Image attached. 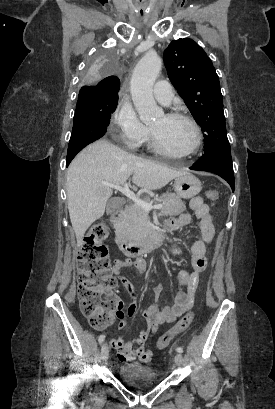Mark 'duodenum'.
Returning <instances> with one entry per match:
<instances>
[{"label":"duodenum","instance_id":"1","mask_svg":"<svg viewBox=\"0 0 275 409\" xmlns=\"http://www.w3.org/2000/svg\"><path fill=\"white\" fill-rule=\"evenodd\" d=\"M124 210L115 211L110 218L115 228V240L121 251L129 257H140L162 245L164 232L161 229H152L142 241L129 240L121 227Z\"/></svg>","mask_w":275,"mask_h":409}]
</instances>
